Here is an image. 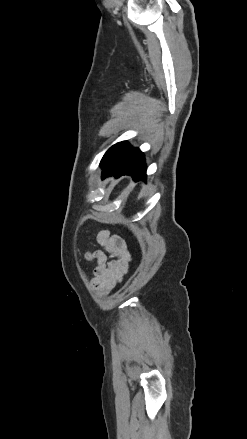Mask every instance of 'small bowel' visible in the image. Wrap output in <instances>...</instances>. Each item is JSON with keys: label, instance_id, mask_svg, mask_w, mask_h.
<instances>
[{"label": "small bowel", "instance_id": "c3829d8e", "mask_svg": "<svg viewBox=\"0 0 247 439\" xmlns=\"http://www.w3.org/2000/svg\"><path fill=\"white\" fill-rule=\"evenodd\" d=\"M97 242L106 250L86 253L87 260L96 261L93 270L92 284L102 293L110 292L120 283L128 272L131 255L127 250L125 241L108 231H102L97 236Z\"/></svg>", "mask_w": 247, "mask_h": 439}]
</instances>
